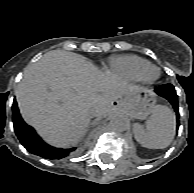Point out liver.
<instances>
[{
    "label": "liver",
    "instance_id": "1",
    "mask_svg": "<svg viewBox=\"0 0 194 193\" xmlns=\"http://www.w3.org/2000/svg\"><path fill=\"white\" fill-rule=\"evenodd\" d=\"M141 90L82 56L52 50L26 68L15 92L27 124L49 144H73L97 116L120 110L118 99Z\"/></svg>",
    "mask_w": 194,
    "mask_h": 193
}]
</instances>
